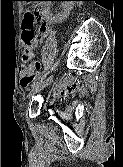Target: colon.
I'll return each instance as SVG.
<instances>
[{
  "label": "colon",
  "mask_w": 123,
  "mask_h": 167,
  "mask_svg": "<svg viewBox=\"0 0 123 167\" xmlns=\"http://www.w3.org/2000/svg\"><path fill=\"white\" fill-rule=\"evenodd\" d=\"M22 42L25 62H31L36 56L35 46L42 39L46 30L42 12L38 7L26 12L22 24ZM36 65L39 63L36 61Z\"/></svg>",
  "instance_id": "1"
}]
</instances>
